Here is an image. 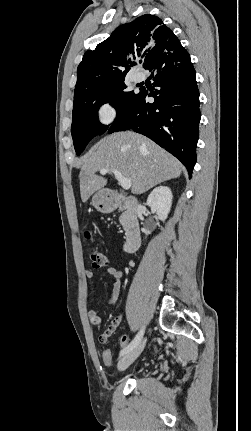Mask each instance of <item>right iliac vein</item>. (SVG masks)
<instances>
[{
    "label": "right iliac vein",
    "instance_id": "obj_1",
    "mask_svg": "<svg viewBox=\"0 0 251 431\" xmlns=\"http://www.w3.org/2000/svg\"><path fill=\"white\" fill-rule=\"evenodd\" d=\"M146 340L143 339L141 342L138 343L137 346H135L131 351L126 353L118 362V369L119 370H125L128 368L141 354L145 347Z\"/></svg>",
    "mask_w": 251,
    "mask_h": 431
}]
</instances>
